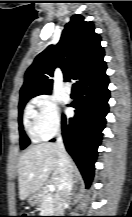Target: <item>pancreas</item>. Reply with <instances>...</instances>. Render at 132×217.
<instances>
[{"instance_id": "cf45deb5", "label": "pancreas", "mask_w": 132, "mask_h": 217, "mask_svg": "<svg viewBox=\"0 0 132 217\" xmlns=\"http://www.w3.org/2000/svg\"><path fill=\"white\" fill-rule=\"evenodd\" d=\"M40 207L42 215H48L53 213L55 207L53 196L51 194L45 195Z\"/></svg>"}]
</instances>
